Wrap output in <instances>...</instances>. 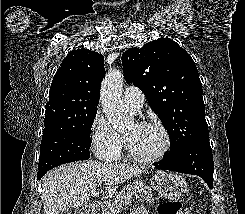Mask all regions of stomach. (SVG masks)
Wrapping results in <instances>:
<instances>
[{"mask_svg":"<svg viewBox=\"0 0 245 214\" xmlns=\"http://www.w3.org/2000/svg\"><path fill=\"white\" fill-rule=\"evenodd\" d=\"M151 186L161 197L170 200H179L188 192V185L182 176L166 171L155 174Z\"/></svg>","mask_w":245,"mask_h":214,"instance_id":"stomach-1","label":"stomach"}]
</instances>
